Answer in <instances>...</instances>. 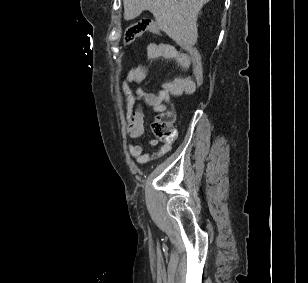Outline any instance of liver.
<instances>
[{"label":"liver","mask_w":308,"mask_h":283,"mask_svg":"<svg viewBox=\"0 0 308 283\" xmlns=\"http://www.w3.org/2000/svg\"><path fill=\"white\" fill-rule=\"evenodd\" d=\"M210 0H123L124 19L129 21L142 11L151 12L158 27L180 45H195L197 17Z\"/></svg>","instance_id":"1"}]
</instances>
